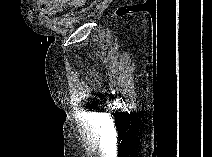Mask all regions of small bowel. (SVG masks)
I'll use <instances>...</instances> for the list:
<instances>
[{"label": "small bowel", "instance_id": "1", "mask_svg": "<svg viewBox=\"0 0 212 157\" xmlns=\"http://www.w3.org/2000/svg\"><path fill=\"white\" fill-rule=\"evenodd\" d=\"M66 4L63 0H51L40 3V11L45 15H54ZM71 5H78V2H70Z\"/></svg>", "mask_w": 212, "mask_h": 157}]
</instances>
